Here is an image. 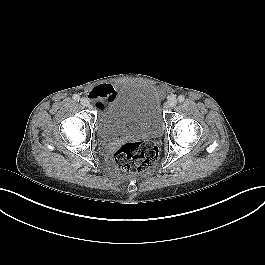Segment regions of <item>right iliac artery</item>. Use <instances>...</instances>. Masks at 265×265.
Masks as SVG:
<instances>
[{
    "instance_id": "obj_1",
    "label": "right iliac artery",
    "mask_w": 265,
    "mask_h": 265,
    "mask_svg": "<svg viewBox=\"0 0 265 265\" xmlns=\"http://www.w3.org/2000/svg\"><path fill=\"white\" fill-rule=\"evenodd\" d=\"M73 99H74L75 101H79V100H80V96L77 95V94H74V95H73Z\"/></svg>"
}]
</instances>
